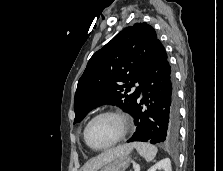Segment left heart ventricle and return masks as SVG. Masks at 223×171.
Returning <instances> with one entry per match:
<instances>
[{"mask_svg": "<svg viewBox=\"0 0 223 171\" xmlns=\"http://www.w3.org/2000/svg\"><path fill=\"white\" fill-rule=\"evenodd\" d=\"M122 130L120 121L113 116L96 119L88 129V139L95 147H104L118 138Z\"/></svg>", "mask_w": 223, "mask_h": 171, "instance_id": "left-heart-ventricle-1", "label": "left heart ventricle"}]
</instances>
